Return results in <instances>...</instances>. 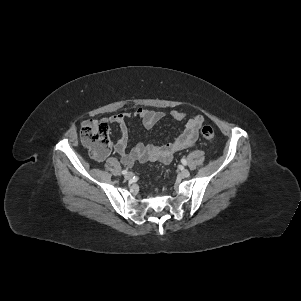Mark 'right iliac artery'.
I'll return each instance as SVG.
<instances>
[{"label": "right iliac artery", "instance_id": "obj_1", "mask_svg": "<svg viewBox=\"0 0 301 301\" xmlns=\"http://www.w3.org/2000/svg\"><path fill=\"white\" fill-rule=\"evenodd\" d=\"M122 174H123V175L127 174V170H123V171H122Z\"/></svg>", "mask_w": 301, "mask_h": 301}]
</instances>
